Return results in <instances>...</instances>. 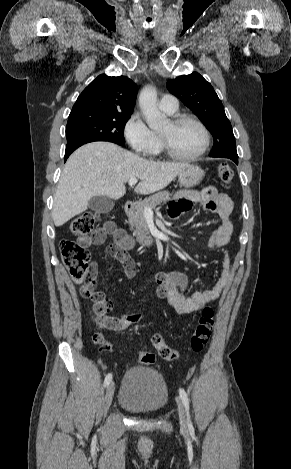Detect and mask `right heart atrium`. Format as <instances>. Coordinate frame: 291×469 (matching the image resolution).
<instances>
[{
	"label": "right heart atrium",
	"instance_id": "obj_1",
	"mask_svg": "<svg viewBox=\"0 0 291 469\" xmlns=\"http://www.w3.org/2000/svg\"><path fill=\"white\" fill-rule=\"evenodd\" d=\"M123 136L130 148L137 154H153L157 145V135L146 125L139 113H133L126 121Z\"/></svg>",
	"mask_w": 291,
	"mask_h": 469
}]
</instances>
